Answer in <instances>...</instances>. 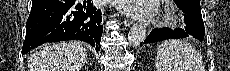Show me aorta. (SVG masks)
Listing matches in <instances>:
<instances>
[{"label": "aorta", "instance_id": "762f6f07", "mask_svg": "<svg viewBox=\"0 0 230 71\" xmlns=\"http://www.w3.org/2000/svg\"><path fill=\"white\" fill-rule=\"evenodd\" d=\"M146 38V27L141 24L132 26L128 33V41L133 46L140 45Z\"/></svg>", "mask_w": 230, "mask_h": 71}]
</instances>
